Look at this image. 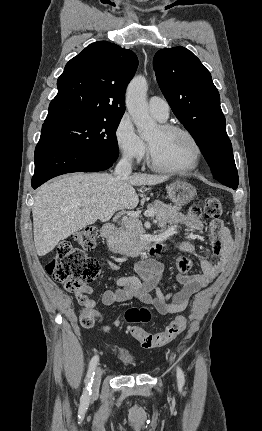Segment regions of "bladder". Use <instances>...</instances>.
Masks as SVG:
<instances>
[{"instance_id": "1", "label": "bladder", "mask_w": 262, "mask_h": 431, "mask_svg": "<svg viewBox=\"0 0 262 431\" xmlns=\"http://www.w3.org/2000/svg\"><path fill=\"white\" fill-rule=\"evenodd\" d=\"M120 357L124 362L130 363L133 361L131 352L126 348H121Z\"/></svg>"}]
</instances>
